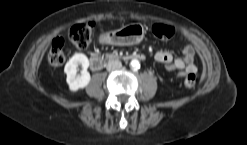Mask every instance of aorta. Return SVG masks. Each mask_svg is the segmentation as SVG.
Instances as JSON below:
<instances>
[{"label":"aorta","instance_id":"obj_1","mask_svg":"<svg viewBox=\"0 0 247 145\" xmlns=\"http://www.w3.org/2000/svg\"><path fill=\"white\" fill-rule=\"evenodd\" d=\"M130 67L133 69V70H138L140 68V63L138 60L136 59H133L131 62H130Z\"/></svg>","mask_w":247,"mask_h":145}]
</instances>
